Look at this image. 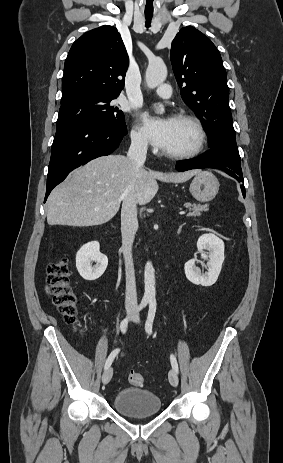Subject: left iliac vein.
<instances>
[{"label":"left iliac vein","instance_id":"left-iliac-vein-1","mask_svg":"<svg viewBox=\"0 0 283 463\" xmlns=\"http://www.w3.org/2000/svg\"><path fill=\"white\" fill-rule=\"evenodd\" d=\"M132 321H134V322H139V316H138V315H135V316L132 318ZM168 379H169V382H170V384H171L172 386H174V387H177V386H178L179 379H178L177 372H176L174 369H171V370L169 371Z\"/></svg>","mask_w":283,"mask_h":463}]
</instances>
